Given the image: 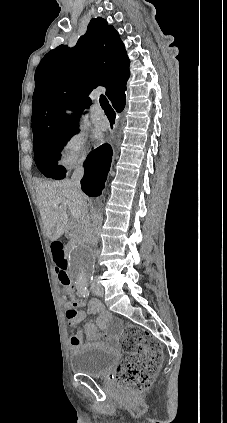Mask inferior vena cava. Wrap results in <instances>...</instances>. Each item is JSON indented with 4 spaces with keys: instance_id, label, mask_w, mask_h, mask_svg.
I'll return each instance as SVG.
<instances>
[{
    "instance_id": "obj_1",
    "label": "inferior vena cava",
    "mask_w": 227,
    "mask_h": 423,
    "mask_svg": "<svg viewBox=\"0 0 227 423\" xmlns=\"http://www.w3.org/2000/svg\"><path fill=\"white\" fill-rule=\"evenodd\" d=\"M84 176V168L82 164H78V166H75L74 172L72 174V182L76 188H78L79 192H81V180ZM84 204V213H86L87 219H92L93 223H85L84 229L87 231V239L92 245V247H98L99 243V235L97 233V229L101 223L100 217H97V215H92V217H89V213L87 210V204L86 202H83ZM99 251L96 249L95 255H98Z\"/></svg>"
}]
</instances>
